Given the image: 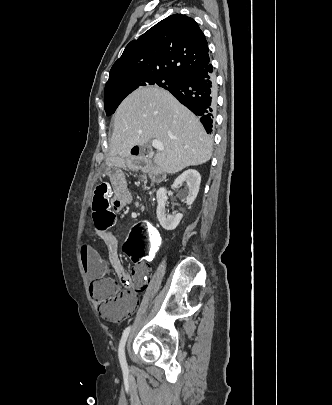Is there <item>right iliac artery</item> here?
Instances as JSON below:
<instances>
[{
	"mask_svg": "<svg viewBox=\"0 0 332 405\" xmlns=\"http://www.w3.org/2000/svg\"><path fill=\"white\" fill-rule=\"evenodd\" d=\"M130 329H131V327L129 326L124 330L123 335L121 337L120 344H119V350H118L120 364H121V367H122L124 372H127V370H128L127 369L126 358H125L124 347H125L127 337H128V335L130 333Z\"/></svg>",
	"mask_w": 332,
	"mask_h": 405,
	"instance_id": "1",
	"label": "right iliac artery"
}]
</instances>
